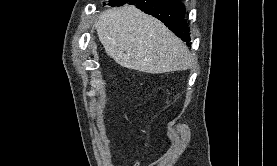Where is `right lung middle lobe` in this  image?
Listing matches in <instances>:
<instances>
[{"label": "right lung middle lobe", "instance_id": "obj_1", "mask_svg": "<svg viewBox=\"0 0 277 166\" xmlns=\"http://www.w3.org/2000/svg\"><path fill=\"white\" fill-rule=\"evenodd\" d=\"M118 0H109V4L117 2Z\"/></svg>", "mask_w": 277, "mask_h": 166}]
</instances>
